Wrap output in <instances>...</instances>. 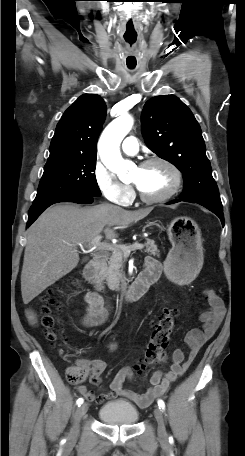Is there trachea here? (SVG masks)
I'll return each mask as SVG.
<instances>
[{
    "instance_id": "obj_1",
    "label": "trachea",
    "mask_w": 245,
    "mask_h": 456,
    "mask_svg": "<svg viewBox=\"0 0 245 456\" xmlns=\"http://www.w3.org/2000/svg\"><path fill=\"white\" fill-rule=\"evenodd\" d=\"M134 67H129V69H133Z\"/></svg>"
}]
</instances>
